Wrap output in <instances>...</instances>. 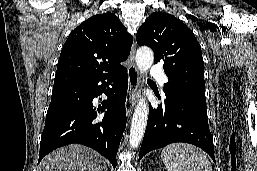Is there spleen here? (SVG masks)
<instances>
[{"mask_svg": "<svg viewBox=\"0 0 257 171\" xmlns=\"http://www.w3.org/2000/svg\"><path fill=\"white\" fill-rule=\"evenodd\" d=\"M161 158L167 171H212L207 155L190 144H171L162 150Z\"/></svg>", "mask_w": 257, "mask_h": 171, "instance_id": "3e777b00", "label": "spleen"}]
</instances>
